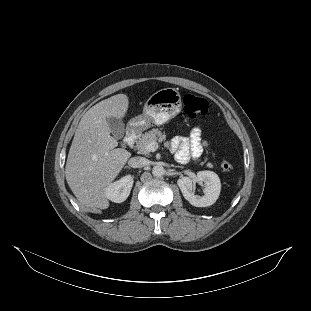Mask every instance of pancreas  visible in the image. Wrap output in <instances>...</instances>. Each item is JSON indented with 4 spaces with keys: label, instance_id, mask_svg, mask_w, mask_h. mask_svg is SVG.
I'll return each mask as SVG.
<instances>
[{
    "label": "pancreas",
    "instance_id": "pancreas-1",
    "mask_svg": "<svg viewBox=\"0 0 311 311\" xmlns=\"http://www.w3.org/2000/svg\"><path fill=\"white\" fill-rule=\"evenodd\" d=\"M166 139V135L161 131V129L153 128L148 132H145L141 138L136 141V149L140 154H149L147 150V145L154 141L162 142ZM207 162V158L200 165H204ZM206 166L208 168H212L213 165L211 163H207Z\"/></svg>",
    "mask_w": 311,
    "mask_h": 311
}]
</instances>
